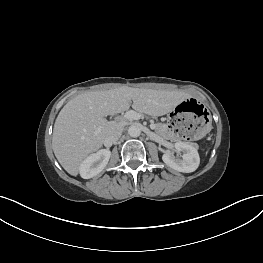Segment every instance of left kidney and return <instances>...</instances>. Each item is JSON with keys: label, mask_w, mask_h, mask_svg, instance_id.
I'll use <instances>...</instances> for the list:
<instances>
[{"label": "left kidney", "mask_w": 263, "mask_h": 263, "mask_svg": "<svg viewBox=\"0 0 263 263\" xmlns=\"http://www.w3.org/2000/svg\"><path fill=\"white\" fill-rule=\"evenodd\" d=\"M174 147L177 152H183L182 157L177 158L169 152H165L162 156L164 163L179 172H194L200 163V157L197 149L192 144L181 141L176 142Z\"/></svg>", "instance_id": "obj_1"}]
</instances>
